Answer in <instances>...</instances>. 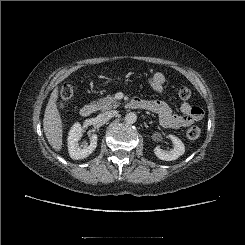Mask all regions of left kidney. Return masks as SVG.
<instances>
[{
    "label": "left kidney",
    "mask_w": 245,
    "mask_h": 245,
    "mask_svg": "<svg viewBox=\"0 0 245 245\" xmlns=\"http://www.w3.org/2000/svg\"><path fill=\"white\" fill-rule=\"evenodd\" d=\"M170 139L172 140L174 147L171 150H163L160 147H156L154 149L155 155L164 161H173L178 159L181 155L185 153V146L183 142L174 135H169Z\"/></svg>",
    "instance_id": "5707ae66"
}]
</instances>
